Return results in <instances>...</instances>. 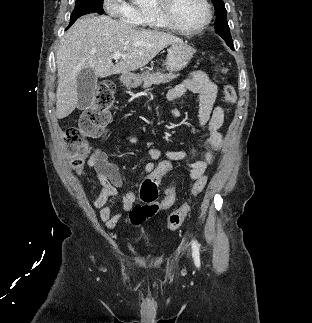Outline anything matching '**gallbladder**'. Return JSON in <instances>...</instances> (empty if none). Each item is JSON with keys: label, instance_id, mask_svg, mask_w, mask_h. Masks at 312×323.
I'll use <instances>...</instances> for the list:
<instances>
[{"label": "gallbladder", "instance_id": "1", "mask_svg": "<svg viewBox=\"0 0 312 323\" xmlns=\"http://www.w3.org/2000/svg\"><path fill=\"white\" fill-rule=\"evenodd\" d=\"M97 86V76L93 68L81 70L77 76V94H78V110H85L91 106V102L95 96Z\"/></svg>", "mask_w": 312, "mask_h": 323}]
</instances>
